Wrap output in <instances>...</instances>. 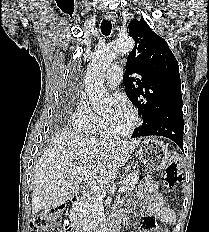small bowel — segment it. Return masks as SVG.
Listing matches in <instances>:
<instances>
[{
    "mask_svg": "<svg viewBox=\"0 0 209 232\" xmlns=\"http://www.w3.org/2000/svg\"><path fill=\"white\" fill-rule=\"evenodd\" d=\"M137 198L145 202L148 212V216L144 217L141 222L140 232H168L166 229L155 225L156 220L167 224H172L175 221V215L166 206L158 184L149 179L143 180L140 184ZM124 212V207L118 206L114 212V218L121 220Z\"/></svg>",
    "mask_w": 209,
    "mask_h": 232,
    "instance_id": "obj_1",
    "label": "small bowel"
}]
</instances>
